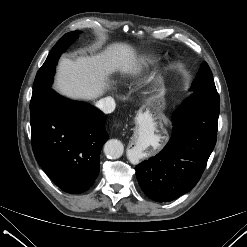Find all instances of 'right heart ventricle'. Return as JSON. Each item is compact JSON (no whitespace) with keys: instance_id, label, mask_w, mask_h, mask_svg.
<instances>
[{"instance_id":"1","label":"right heart ventricle","mask_w":247,"mask_h":247,"mask_svg":"<svg viewBox=\"0 0 247 247\" xmlns=\"http://www.w3.org/2000/svg\"><path fill=\"white\" fill-rule=\"evenodd\" d=\"M157 58L155 56H148L145 57L142 61H141V66L143 67H148L152 64H154L156 62Z\"/></svg>"}]
</instances>
